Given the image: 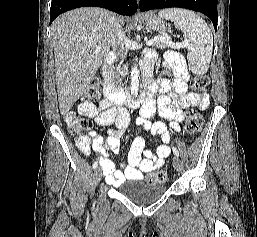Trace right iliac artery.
Here are the masks:
<instances>
[{"mask_svg": "<svg viewBox=\"0 0 257 237\" xmlns=\"http://www.w3.org/2000/svg\"><path fill=\"white\" fill-rule=\"evenodd\" d=\"M98 166V162H94L92 168L95 169Z\"/></svg>", "mask_w": 257, "mask_h": 237, "instance_id": "82829eb1", "label": "right iliac artery"}]
</instances>
